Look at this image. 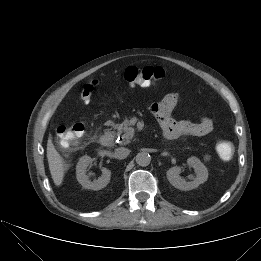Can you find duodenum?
Returning <instances> with one entry per match:
<instances>
[{
    "label": "duodenum",
    "mask_w": 261,
    "mask_h": 261,
    "mask_svg": "<svg viewBox=\"0 0 261 261\" xmlns=\"http://www.w3.org/2000/svg\"><path fill=\"white\" fill-rule=\"evenodd\" d=\"M100 143L104 147H111L114 143V135L109 131L104 132L100 137Z\"/></svg>",
    "instance_id": "obj_1"
}]
</instances>
